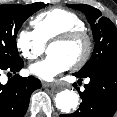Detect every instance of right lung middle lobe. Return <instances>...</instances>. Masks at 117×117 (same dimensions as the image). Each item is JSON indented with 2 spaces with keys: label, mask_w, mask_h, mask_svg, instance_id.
Masks as SVG:
<instances>
[{
  "label": "right lung middle lobe",
  "mask_w": 117,
  "mask_h": 117,
  "mask_svg": "<svg viewBox=\"0 0 117 117\" xmlns=\"http://www.w3.org/2000/svg\"><path fill=\"white\" fill-rule=\"evenodd\" d=\"M45 6L41 2L30 5H0V64L21 59L16 46L17 32L28 17Z\"/></svg>",
  "instance_id": "right-lung-middle-lobe-1"
}]
</instances>
